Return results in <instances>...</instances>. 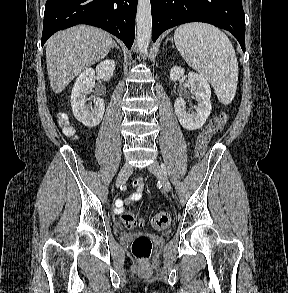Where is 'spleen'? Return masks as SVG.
Here are the masks:
<instances>
[{
	"label": "spleen",
	"instance_id": "3e777b00",
	"mask_svg": "<svg viewBox=\"0 0 288 293\" xmlns=\"http://www.w3.org/2000/svg\"><path fill=\"white\" fill-rule=\"evenodd\" d=\"M174 42L180 54L194 70L208 80L223 104H229L238 82V62L229 38L206 23L179 26Z\"/></svg>",
	"mask_w": 288,
	"mask_h": 293
}]
</instances>
